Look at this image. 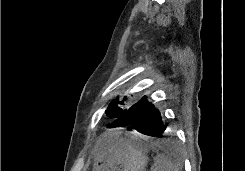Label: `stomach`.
Masks as SVG:
<instances>
[{"instance_id": "0dacf381", "label": "stomach", "mask_w": 245, "mask_h": 171, "mask_svg": "<svg viewBox=\"0 0 245 171\" xmlns=\"http://www.w3.org/2000/svg\"><path fill=\"white\" fill-rule=\"evenodd\" d=\"M149 149L135 133H109L99 144L92 171H145Z\"/></svg>"}]
</instances>
